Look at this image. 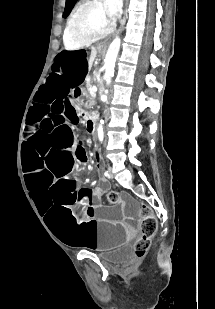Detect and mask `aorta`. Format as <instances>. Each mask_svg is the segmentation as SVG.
Segmentation results:
<instances>
[{
	"label": "aorta",
	"instance_id": "1",
	"mask_svg": "<svg viewBox=\"0 0 215 309\" xmlns=\"http://www.w3.org/2000/svg\"><path fill=\"white\" fill-rule=\"evenodd\" d=\"M120 44H121L120 36H115L114 40H112L111 44H109V48L107 50L105 64H104L105 72L103 76L107 86H109L111 82V76L115 68L116 56L119 52ZM97 134H98L99 140H103L104 130H103L102 122L98 124Z\"/></svg>",
	"mask_w": 215,
	"mask_h": 309
}]
</instances>
